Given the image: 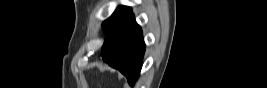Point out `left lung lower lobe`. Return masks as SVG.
Masks as SVG:
<instances>
[{"label":"left lung lower lobe","instance_id":"0a47b994","mask_svg":"<svg viewBox=\"0 0 267 88\" xmlns=\"http://www.w3.org/2000/svg\"><path fill=\"white\" fill-rule=\"evenodd\" d=\"M144 50L141 28L135 22L133 14L129 12L107 34L101 56L133 84L141 70Z\"/></svg>","mask_w":267,"mask_h":88}]
</instances>
